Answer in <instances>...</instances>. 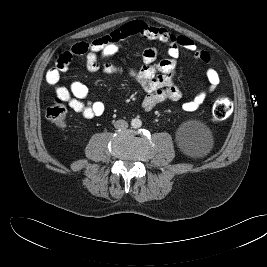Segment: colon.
<instances>
[{
  "label": "colon",
  "instance_id": "1",
  "mask_svg": "<svg viewBox=\"0 0 267 267\" xmlns=\"http://www.w3.org/2000/svg\"><path fill=\"white\" fill-rule=\"evenodd\" d=\"M233 111V102L227 96H219L212 107V119L215 122L224 121L230 117ZM46 118L56 127L62 128L67 121V108L62 100H55L46 109Z\"/></svg>",
  "mask_w": 267,
  "mask_h": 267
}]
</instances>
